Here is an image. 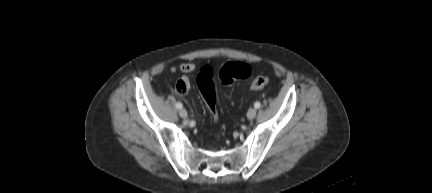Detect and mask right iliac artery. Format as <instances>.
<instances>
[{"label":"right iliac artery","mask_w":432,"mask_h":193,"mask_svg":"<svg viewBox=\"0 0 432 193\" xmlns=\"http://www.w3.org/2000/svg\"><path fill=\"white\" fill-rule=\"evenodd\" d=\"M176 107H177L178 109H181V108L183 107V105H182V103L177 102V103H176Z\"/></svg>","instance_id":"82829eb1"}]
</instances>
